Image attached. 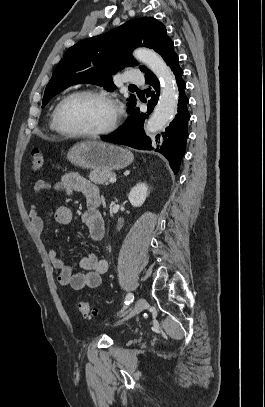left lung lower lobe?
<instances>
[{"label":"left lung lower lobe","instance_id":"1","mask_svg":"<svg viewBox=\"0 0 265 407\" xmlns=\"http://www.w3.org/2000/svg\"><path fill=\"white\" fill-rule=\"evenodd\" d=\"M171 70L176 76L179 89L178 112L165 132L157 135L155 141L151 144L150 138L145 135L143 130L144 121L157 104L160 94L158 79L154 74H149L145 75L146 83L150 84L149 89H147V96H151L147 113L141 112L139 108H134L125 123L115 133L102 136L101 139L136 149L155 150L168 159L174 173H177L181 159L185 154L188 137L187 125L190 115L187 109L189 100L184 91L186 83L182 78L183 70L179 66L178 59L171 66Z\"/></svg>","mask_w":265,"mask_h":407}]
</instances>
